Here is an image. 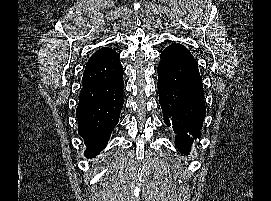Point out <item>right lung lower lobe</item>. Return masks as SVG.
Returning <instances> with one entry per match:
<instances>
[{
  "instance_id": "obj_1",
  "label": "right lung lower lobe",
  "mask_w": 271,
  "mask_h": 201,
  "mask_svg": "<svg viewBox=\"0 0 271 201\" xmlns=\"http://www.w3.org/2000/svg\"><path fill=\"white\" fill-rule=\"evenodd\" d=\"M119 56L110 48L99 49L84 70L76 117L87 157H94L106 146L119 121L124 89Z\"/></svg>"
}]
</instances>
